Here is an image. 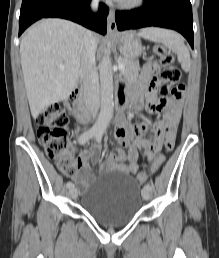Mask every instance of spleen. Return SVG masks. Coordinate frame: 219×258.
<instances>
[{"mask_svg": "<svg viewBox=\"0 0 219 258\" xmlns=\"http://www.w3.org/2000/svg\"><path fill=\"white\" fill-rule=\"evenodd\" d=\"M137 35L149 41L162 43L177 54L185 71L190 69V53L178 33L168 29L148 27L140 30Z\"/></svg>", "mask_w": 219, "mask_h": 258, "instance_id": "spleen-1", "label": "spleen"}]
</instances>
